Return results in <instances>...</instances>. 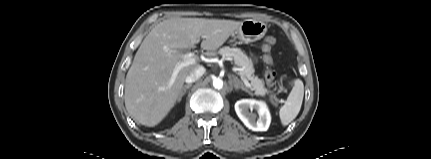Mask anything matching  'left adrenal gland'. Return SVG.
<instances>
[{
    "label": "left adrenal gland",
    "instance_id": "1",
    "mask_svg": "<svg viewBox=\"0 0 431 159\" xmlns=\"http://www.w3.org/2000/svg\"><path fill=\"white\" fill-rule=\"evenodd\" d=\"M231 86L234 87L235 90L242 89L250 95H253L251 91H249L243 83L235 76H233V80L230 82Z\"/></svg>",
    "mask_w": 431,
    "mask_h": 159
}]
</instances>
